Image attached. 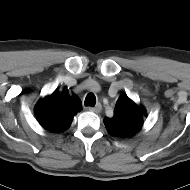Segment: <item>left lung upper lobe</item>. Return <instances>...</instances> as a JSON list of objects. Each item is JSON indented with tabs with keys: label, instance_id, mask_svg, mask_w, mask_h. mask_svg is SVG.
<instances>
[{
	"label": "left lung upper lobe",
	"instance_id": "left-lung-upper-lobe-1",
	"mask_svg": "<svg viewBox=\"0 0 190 190\" xmlns=\"http://www.w3.org/2000/svg\"><path fill=\"white\" fill-rule=\"evenodd\" d=\"M147 111L143 106H137L126 94H122L116 102L114 116L104 118L108 133L115 137H129L143 126V118Z\"/></svg>",
	"mask_w": 190,
	"mask_h": 190
}]
</instances>
